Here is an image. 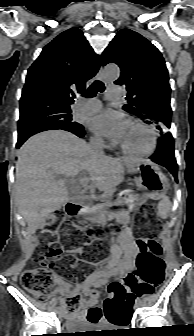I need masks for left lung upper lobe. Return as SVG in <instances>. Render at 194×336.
Listing matches in <instances>:
<instances>
[{
  "instance_id": "5c2ea615",
  "label": "left lung upper lobe",
  "mask_w": 194,
  "mask_h": 336,
  "mask_svg": "<svg viewBox=\"0 0 194 336\" xmlns=\"http://www.w3.org/2000/svg\"><path fill=\"white\" fill-rule=\"evenodd\" d=\"M121 69L115 84L125 86L128 103L123 109L165 133L171 124L168 71L160 51L139 33L120 30L101 56V64Z\"/></svg>"
}]
</instances>
